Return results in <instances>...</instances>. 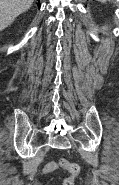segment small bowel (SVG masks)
<instances>
[{
	"mask_svg": "<svg viewBox=\"0 0 119 185\" xmlns=\"http://www.w3.org/2000/svg\"><path fill=\"white\" fill-rule=\"evenodd\" d=\"M58 168V164L54 161H50L44 168V173L48 174L55 171Z\"/></svg>",
	"mask_w": 119,
	"mask_h": 185,
	"instance_id": "small-bowel-1",
	"label": "small bowel"
}]
</instances>
